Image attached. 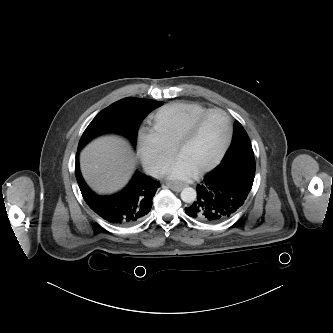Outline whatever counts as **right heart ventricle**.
Wrapping results in <instances>:
<instances>
[{"label":"right heart ventricle","instance_id":"e07e8e85","mask_svg":"<svg viewBox=\"0 0 333 333\" xmlns=\"http://www.w3.org/2000/svg\"><path fill=\"white\" fill-rule=\"evenodd\" d=\"M208 110L195 102H174L159 109L152 117V130L171 148L198 116Z\"/></svg>","mask_w":333,"mask_h":333}]
</instances>
